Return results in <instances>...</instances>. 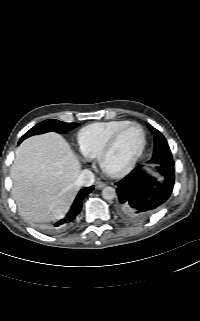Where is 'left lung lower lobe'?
<instances>
[{"instance_id":"0a47b994","label":"left lung lower lobe","mask_w":200,"mask_h":321,"mask_svg":"<svg viewBox=\"0 0 200 321\" xmlns=\"http://www.w3.org/2000/svg\"><path fill=\"white\" fill-rule=\"evenodd\" d=\"M154 165H157L155 177L138 166L116 183L117 211L124 221H146L170 197L175 181L172 155L154 161Z\"/></svg>"}]
</instances>
